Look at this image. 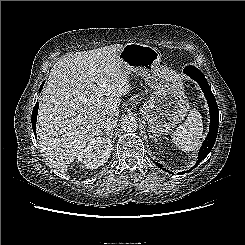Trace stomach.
Here are the masks:
<instances>
[{
    "mask_svg": "<svg viewBox=\"0 0 245 245\" xmlns=\"http://www.w3.org/2000/svg\"><path fill=\"white\" fill-rule=\"evenodd\" d=\"M119 58L128 76L132 73L142 76L154 90L140 109L150 132L155 137L170 133L189 111L182 77L169 68L159 66L160 53L152 46L128 43Z\"/></svg>",
    "mask_w": 245,
    "mask_h": 245,
    "instance_id": "1",
    "label": "stomach"
}]
</instances>
